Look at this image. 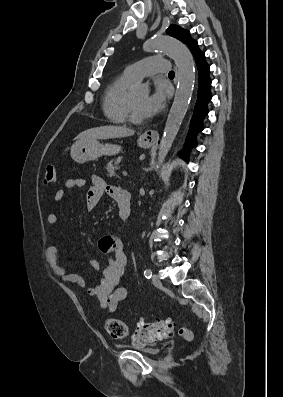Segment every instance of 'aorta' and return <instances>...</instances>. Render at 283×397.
<instances>
[{
	"label": "aorta",
	"mask_w": 283,
	"mask_h": 397,
	"mask_svg": "<svg viewBox=\"0 0 283 397\" xmlns=\"http://www.w3.org/2000/svg\"><path fill=\"white\" fill-rule=\"evenodd\" d=\"M145 49L167 52L175 61L178 68V84L175 98L168 114L159 145L158 161L162 162L171 149L189 106L195 83V66L189 49L177 39L170 37H154L146 44ZM135 90L138 92H147L148 86L139 84L135 87Z\"/></svg>",
	"instance_id": "obj_1"
}]
</instances>
